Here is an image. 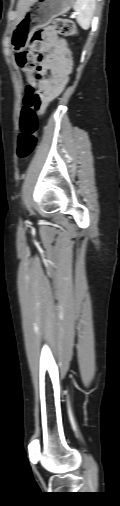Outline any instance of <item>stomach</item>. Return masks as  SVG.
<instances>
[{
	"label": "stomach",
	"mask_w": 120,
	"mask_h": 506,
	"mask_svg": "<svg viewBox=\"0 0 120 506\" xmlns=\"http://www.w3.org/2000/svg\"><path fill=\"white\" fill-rule=\"evenodd\" d=\"M75 0H35L11 33V48L15 52L26 49L34 29L48 24L53 18L68 12Z\"/></svg>",
	"instance_id": "stomach-1"
}]
</instances>
